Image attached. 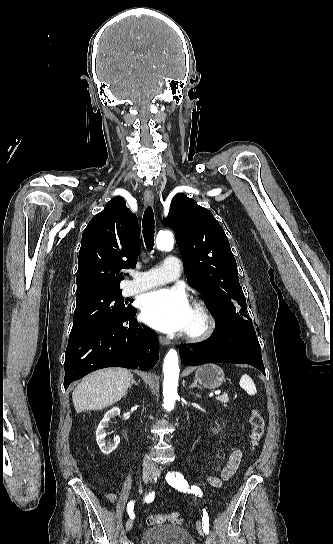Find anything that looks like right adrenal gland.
Here are the masks:
<instances>
[{
  "label": "right adrenal gland",
  "instance_id": "obj_1",
  "mask_svg": "<svg viewBox=\"0 0 333 544\" xmlns=\"http://www.w3.org/2000/svg\"><path fill=\"white\" fill-rule=\"evenodd\" d=\"M133 384H134V385H138V383L134 380L133 375H132V377H131V383H130V386H129V387L131 388Z\"/></svg>",
  "mask_w": 333,
  "mask_h": 544
}]
</instances>
